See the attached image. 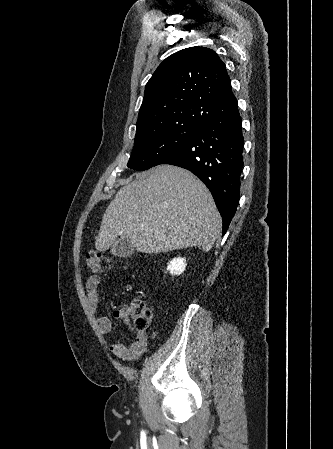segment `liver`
<instances>
[{"mask_svg": "<svg viewBox=\"0 0 333 449\" xmlns=\"http://www.w3.org/2000/svg\"><path fill=\"white\" fill-rule=\"evenodd\" d=\"M221 228L207 187L185 169L160 165L133 174L117 192L103 215L95 247L104 252L121 236L144 253L193 246L208 252Z\"/></svg>", "mask_w": 333, "mask_h": 449, "instance_id": "6515ba94", "label": "liver"}]
</instances>
